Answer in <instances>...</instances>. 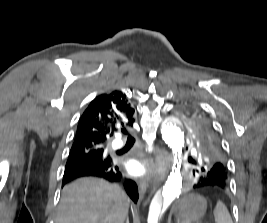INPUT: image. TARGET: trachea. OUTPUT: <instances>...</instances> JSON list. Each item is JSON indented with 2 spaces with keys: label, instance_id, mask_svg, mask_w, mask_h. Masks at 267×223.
<instances>
[{
  "label": "trachea",
  "instance_id": "obj_1",
  "mask_svg": "<svg viewBox=\"0 0 267 223\" xmlns=\"http://www.w3.org/2000/svg\"><path fill=\"white\" fill-rule=\"evenodd\" d=\"M122 132L124 134H128L127 142H130V143H134L135 142V139L126 130H123Z\"/></svg>",
  "mask_w": 267,
  "mask_h": 223
}]
</instances>
